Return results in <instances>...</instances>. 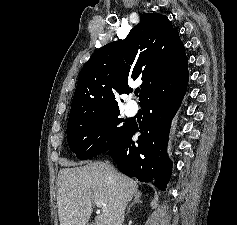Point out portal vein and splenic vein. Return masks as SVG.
<instances>
[{
    "label": "portal vein and splenic vein",
    "instance_id": "portal-vein-and-splenic-vein-1",
    "mask_svg": "<svg viewBox=\"0 0 237 225\" xmlns=\"http://www.w3.org/2000/svg\"><path fill=\"white\" fill-rule=\"evenodd\" d=\"M95 204H96V206H98L99 208H102V210H106V208L104 207V205H103L99 200H95Z\"/></svg>",
    "mask_w": 237,
    "mask_h": 225
}]
</instances>
